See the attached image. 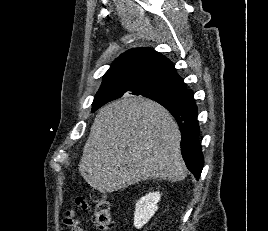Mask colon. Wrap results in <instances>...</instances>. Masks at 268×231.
<instances>
[{
	"instance_id": "5ec220e1",
	"label": "colon",
	"mask_w": 268,
	"mask_h": 231,
	"mask_svg": "<svg viewBox=\"0 0 268 231\" xmlns=\"http://www.w3.org/2000/svg\"><path fill=\"white\" fill-rule=\"evenodd\" d=\"M94 209L91 214L93 223L100 231H109L112 228L111 206L105 195L98 190L91 193ZM87 206V205H84Z\"/></svg>"
}]
</instances>
